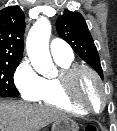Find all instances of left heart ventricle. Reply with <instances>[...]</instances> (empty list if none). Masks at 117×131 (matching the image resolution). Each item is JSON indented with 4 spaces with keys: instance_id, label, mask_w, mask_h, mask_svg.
<instances>
[{
    "instance_id": "1",
    "label": "left heart ventricle",
    "mask_w": 117,
    "mask_h": 131,
    "mask_svg": "<svg viewBox=\"0 0 117 131\" xmlns=\"http://www.w3.org/2000/svg\"><path fill=\"white\" fill-rule=\"evenodd\" d=\"M78 93L82 99L98 109L101 105L102 95L95 80L88 74H84L78 83Z\"/></svg>"
}]
</instances>
